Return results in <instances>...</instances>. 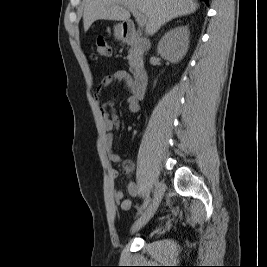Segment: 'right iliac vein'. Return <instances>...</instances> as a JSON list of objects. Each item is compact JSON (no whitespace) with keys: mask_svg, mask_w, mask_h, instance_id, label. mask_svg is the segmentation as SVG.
Masks as SVG:
<instances>
[{"mask_svg":"<svg viewBox=\"0 0 267 267\" xmlns=\"http://www.w3.org/2000/svg\"><path fill=\"white\" fill-rule=\"evenodd\" d=\"M165 191V184L157 181L155 183L154 197L151 203L148 205L144 213L135 221L131 228V232L134 233L145 226L149 220L154 216Z\"/></svg>","mask_w":267,"mask_h":267,"instance_id":"obj_1","label":"right iliac vein"}]
</instances>
